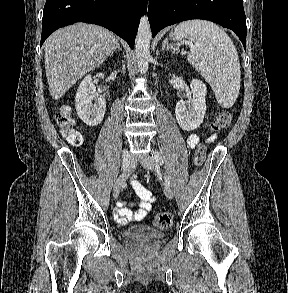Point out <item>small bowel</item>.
Segmentation results:
<instances>
[{"label": "small bowel", "mask_w": 288, "mask_h": 293, "mask_svg": "<svg viewBox=\"0 0 288 293\" xmlns=\"http://www.w3.org/2000/svg\"><path fill=\"white\" fill-rule=\"evenodd\" d=\"M208 122L204 124L207 127ZM216 136H212L210 141L215 140ZM199 141V137L196 134H190L187 137V144L190 148H194ZM132 187L135 191L137 198L140 200V208L136 212L131 211L128 208V203L121 202L117 209L116 220L120 224H125L128 220H141L143 219L151 209L152 203L155 198L152 192L142 185L139 181L133 180Z\"/></svg>", "instance_id": "obj_1"}]
</instances>
